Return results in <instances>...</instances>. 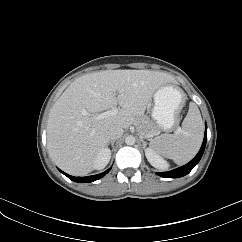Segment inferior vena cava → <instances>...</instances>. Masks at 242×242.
<instances>
[{"label":"inferior vena cava","mask_w":242,"mask_h":242,"mask_svg":"<svg viewBox=\"0 0 242 242\" xmlns=\"http://www.w3.org/2000/svg\"><path fill=\"white\" fill-rule=\"evenodd\" d=\"M124 133L121 126H112L109 128L108 135L111 140L119 139Z\"/></svg>","instance_id":"inferior-vena-cava-1"}]
</instances>
